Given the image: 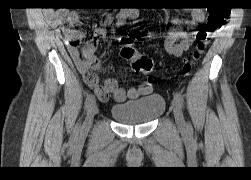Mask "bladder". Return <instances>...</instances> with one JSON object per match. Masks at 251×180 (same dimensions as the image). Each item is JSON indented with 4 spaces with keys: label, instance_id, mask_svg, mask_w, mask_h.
I'll return each mask as SVG.
<instances>
[{
    "label": "bladder",
    "instance_id": "obj_1",
    "mask_svg": "<svg viewBox=\"0 0 251 180\" xmlns=\"http://www.w3.org/2000/svg\"><path fill=\"white\" fill-rule=\"evenodd\" d=\"M166 101L160 94H151L138 100L114 104L110 113L121 124L142 125L159 118L165 111Z\"/></svg>",
    "mask_w": 251,
    "mask_h": 180
}]
</instances>
